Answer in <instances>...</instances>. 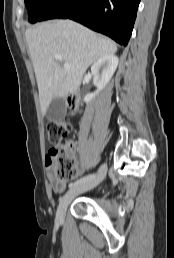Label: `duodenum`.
I'll use <instances>...</instances> for the list:
<instances>
[{
    "instance_id": "obj_1",
    "label": "duodenum",
    "mask_w": 174,
    "mask_h": 258,
    "mask_svg": "<svg viewBox=\"0 0 174 258\" xmlns=\"http://www.w3.org/2000/svg\"><path fill=\"white\" fill-rule=\"evenodd\" d=\"M68 106L70 108L71 111H76L78 108V96L76 93H72L69 97H68Z\"/></svg>"
}]
</instances>
